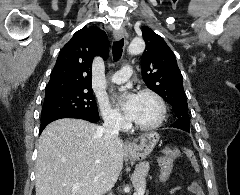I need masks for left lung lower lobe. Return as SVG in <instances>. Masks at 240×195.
I'll return each mask as SVG.
<instances>
[{
	"label": "left lung lower lobe",
	"mask_w": 240,
	"mask_h": 195,
	"mask_svg": "<svg viewBox=\"0 0 240 195\" xmlns=\"http://www.w3.org/2000/svg\"><path fill=\"white\" fill-rule=\"evenodd\" d=\"M170 127L179 128V129H182V130H184V131H187V130H185L184 128L176 127V126H174V125H170ZM187 132H189V131H187Z\"/></svg>",
	"instance_id": "1"
}]
</instances>
